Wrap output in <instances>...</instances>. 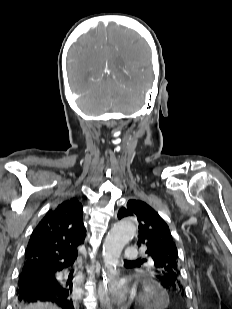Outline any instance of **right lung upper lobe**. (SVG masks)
I'll use <instances>...</instances> for the list:
<instances>
[{
  "label": "right lung upper lobe",
  "mask_w": 232,
  "mask_h": 309,
  "mask_svg": "<svg viewBox=\"0 0 232 309\" xmlns=\"http://www.w3.org/2000/svg\"><path fill=\"white\" fill-rule=\"evenodd\" d=\"M85 234L81 203L67 200L48 211L36 226L25 250V262L37 263L40 269L73 264Z\"/></svg>",
  "instance_id": "obj_1"
}]
</instances>
